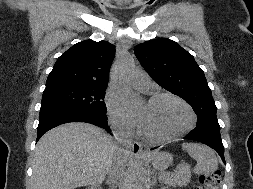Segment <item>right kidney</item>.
<instances>
[{
  "label": "right kidney",
  "mask_w": 253,
  "mask_h": 189,
  "mask_svg": "<svg viewBox=\"0 0 253 189\" xmlns=\"http://www.w3.org/2000/svg\"><path fill=\"white\" fill-rule=\"evenodd\" d=\"M88 189H100V188H98V186H91L90 188H88Z\"/></svg>",
  "instance_id": "ca27d5eb"
}]
</instances>
